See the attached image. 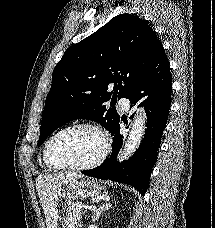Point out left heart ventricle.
Returning <instances> with one entry per match:
<instances>
[{
  "label": "left heart ventricle",
  "instance_id": "obj_1",
  "mask_svg": "<svg viewBox=\"0 0 215 228\" xmlns=\"http://www.w3.org/2000/svg\"><path fill=\"white\" fill-rule=\"evenodd\" d=\"M102 147V138L96 131L76 128L54 140L49 150V159L57 166L82 165L95 159Z\"/></svg>",
  "mask_w": 215,
  "mask_h": 228
}]
</instances>
